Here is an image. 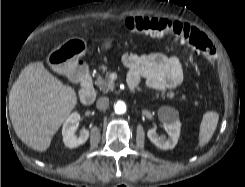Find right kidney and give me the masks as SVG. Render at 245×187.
I'll return each mask as SVG.
<instances>
[{
    "label": "right kidney",
    "mask_w": 245,
    "mask_h": 187,
    "mask_svg": "<svg viewBox=\"0 0 245 187\" xmlns=\"http://www.w3.org/2000/svg\"><path fill=\"white\" fill-rule=\"evenodd\" d=\"M79 121V113L73 112L71 115H69V117L65 120L63 124V142L68 148H76L84 144L89 138V131L85 129L80 132V135L78 137L75 135V129Z\"/></svg>",
    "instance_id": "right-kidney-1"
}]
</instances>
